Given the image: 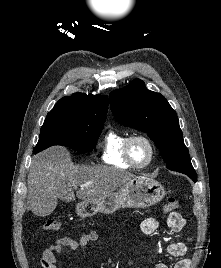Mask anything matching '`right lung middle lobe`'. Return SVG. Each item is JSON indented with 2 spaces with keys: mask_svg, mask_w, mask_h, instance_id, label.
<instances>
[{
  "mask_svg": "<svg viewBox=\"0 0 221 268\" xmlns=\"http://www.w3.org/2000/svg\"><path fill=\"white\" fill-rule=\"evenodd\" d=\"M103 124L67 114L48 113L34 153L52 145L68 146L82 153L90 152L96 146Z\"/></svg>",
  "mask_w": 221,
  "mask_h": 268,
  "instance_id": "right-lung-middle-lobe-1",
  "label": "right lung middle lobe"
}]
</instances>
